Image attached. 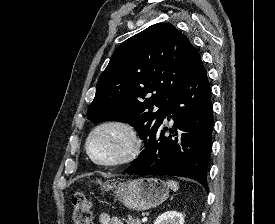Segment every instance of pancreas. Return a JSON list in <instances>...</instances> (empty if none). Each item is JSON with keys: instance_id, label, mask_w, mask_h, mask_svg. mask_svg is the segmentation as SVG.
Returning a JSON list of instances; mask_svg holds the SVG:
<instances>
[{"instance_id": "1", "label": "pancreas", "mask_w": 275, "mask_h": 224, "mask_svg": "<svg viewBox=\"0 0 275 224\" xmlns=\"http://www.w3.org/2000/svg\"><path fill=\"white\" fill-rule=\"evenodd\" d=\"M127 223L128 224H141V221H140V219L138 217L135 218V217L129 216L128 220H127Z\"/></svg>"}]
</instances>
